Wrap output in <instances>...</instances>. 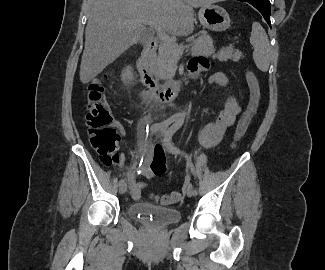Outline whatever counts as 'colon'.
Wrapping results in <instances>:
<instances>
[{
	"mask_svg": "<svg viewBox=\"0 0 325 270\" xmlns=\"http://www.w3.org/2000/svg\"><path fill=\"white\" fill-rule=\"evenodd\" d=\"M246 79L250 89V100L237 124L233 139L234 143L245 135L260 102V86L256 76L247 71ZM85 119L90 143L99 155L101 162L106 166L118 162L119 135L112 124V113L105 95L103 79H95L88 86ZM156 199L164 204L176 203L182 199V194L173 191L161 197H156Z\"/></svg>",
	"mask_w": 325,
	"mask_h": 270,
	"instance_id": "obj_1",
	"label": "colon"
}]
</instances>
